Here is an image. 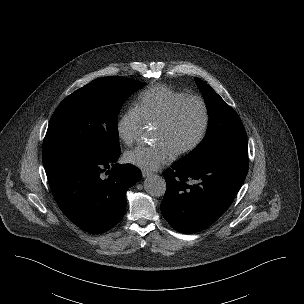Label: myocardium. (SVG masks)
Instances as JSON below:
<instances>
[{
    "label": "myocardium",
    "mask_w": 304,
    "mask_h": 304,
    "mask_svg": "<svg viewBox=\"0 0 304 304\" xmlns=\"http://www.w3.org/2000/svg\"><path fill=\"white\" fill-rule=\"evenodd\" d=\"M191 101L198 103L201 108V112H202L201 125L195 138L189 144H187L186 146L182 147L181 149L175 152L176 157L183 156L192 152L201 144V142L205 138L210 122V112L206 100L199 95H186L180 98L179 100H177L176 102H174L167 110L165 115L156 124V127L167 128L172 123L180 107L185 103Z\"/></svg>",
    "instance_id": "obj_1"
}]
</instances>
